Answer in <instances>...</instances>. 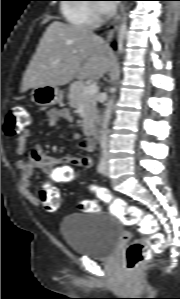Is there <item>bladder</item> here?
Returning <instances> with one entry per match:
<instances>
[{
	"instance_id": "obj_1",
	"label": "bladder",
	"mask_w": 180,
	"mask_h": 299,
	"mask_svg": "<svg viewBox=\"0 0 180 299\" xmlns=\"http://www.w3.org/2000/svg\"><path fill=\"white\" fill-rule=\"evenodd\" d=\"M60 231L75 254L98 260L110 258L122 238V228L109 211L69 214Z\"/></svg>"
}]
</instances>
